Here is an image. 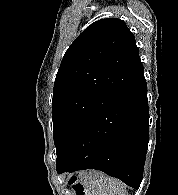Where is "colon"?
<instances>
[{
    "mask_svg": "<svg viewBox=\"0 0 178 195\" xmlns=\"http://www.w3.org/2000/svg\"><path fill=\"white\" fill-rule=\"evenodd\" d=\"M71 184L73 185L75 189L76 195H92L90 192H88L82 183L76 181V180H71Z\"/></svg>",
    "mask_w": 178,
    "mask_h": 195,
    "instance_id": "1",
    "label": "colon"
}]
</instances>
